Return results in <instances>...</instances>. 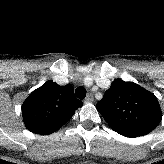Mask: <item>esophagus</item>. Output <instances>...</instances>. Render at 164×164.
I'll return each instance as SVG.
<instances>
[{
	"instance_id": "esophagus-1",
	"label": "esophagus",
	"mask_w": 164,
	"mask_h": 164,
	"mask_svg": "<svg viewBox=\"0 0 164 164\" xmlns=\"http://www.w3.org/2000/svg\"><path fill=\"white\" fill-rule=\"evenodd\" d=\"M94 101V97L92 93H89L85 99V102H93Z\"/></svg>"
}]
</instances>
